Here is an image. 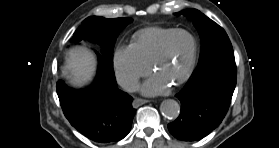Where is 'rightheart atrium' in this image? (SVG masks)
<instances>
[{
	"label": "right heart atrium",
	"instance_id": "right-heart-atrium-1",
	"mask_svg": "<svg viewBox=\"0 0 279 148\" xmlns=\"http://www.w3.org/2000/svg\"><path fill=\"white\" fill-rule=\"evenodd\" d=\"M113 65L118 82L127 90L135 89L140 78L150 71V66L137 55L131 45L115 51Z\"/></svg>",
	"mask_w": 279,
	"mask_h": 148
}]
</instances>
